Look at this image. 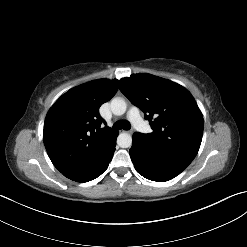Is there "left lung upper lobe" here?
<instances>
[{"instance_id": "left-lung-upper-lobe-1", "label": "left lung upper lobe", "mask_w": 247, "mask_h": 247, "mask_svg": "<svg viewBox=\"0 0 247 247\" xmlns=\"http://www.w3.org/2000/svg\"><path fill=\"white\" fill-rule=\"evenodd\" d=\"M121 92L139 107L150 122L152 133H135L155 151L189 165L198 153L203 135V117L188 90L150 74L119 80Z\"/></svg>"}]
</instances>
